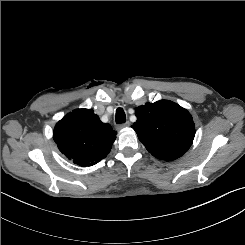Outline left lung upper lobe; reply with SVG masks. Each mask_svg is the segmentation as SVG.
I'll use <instances>...</instances> for the list:
<instances>
[{
    "label": "left lung upper lobe",
    "mask_w": 245,
    "mask_h": 245,
    "mask_svg": "<svg viewBox=\"0 0 245 245\" xmlns=\"http://www.w3.org/2000/svg\"><path fill=\"white\" fill-rule=\"evenodd\" d=\"M132 128L146 149L161 160H175L191 146L195 128L192 116L180 105L167 100L146 103L135 109Z\"/></svg>",
    "instance_id": "1"
}]
</instances>
